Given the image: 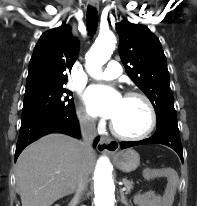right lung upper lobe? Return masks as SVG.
Listing matches in <instances>:
<instances>
[{"mask_svg":"<svg viewBox=\"0 0 197 206\" xmlns=\"http://www.w3.org/2000/svg\"><path fill=\"white\" fill-rule=\"evenodd\" d=\"M78 51L79 43L72 37L69 26L43 33L29 63L26 89L66 84V71H71Z\"/></svg>","mask_w":197,"mask_h":206,"instance_id":"1","label":"right lung upper lobe"}]
</instances>
